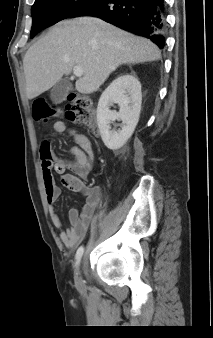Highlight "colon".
Segmentation results:
<instances>
[{"label": "colon", "instance_id": "1", "mask_svg": "<svg viewBox=\"0 0 213 338\" xmlns=\"http://www.w3.org/2000/svg\"><path fill=\"white\" fill-rule=\"evenodd\" d=\"M65 108L71 121L95 130L96 113L90 99L80 95H71ZM60 113V109L52 106L43 97L37 98L32 104V116L37 122H47L52 116Z\"/></svg>", "mask_w": 213, "mask_h": 338}]
</instances>
